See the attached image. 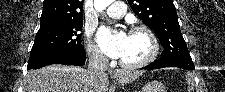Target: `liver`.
Returning <instances> with one entry per match:
<instances>
[{"label": "liver", "mask_w": 225, "mask_h": 92, "mask_svg": "<svg viewBox=\"0 0 225 92\" xmlns=\"http://www.w3.org/2000/svg\"><path fill=\"white\" fill-rule=\"evenodd\" d=\"M144 71L116 70L109 74L122 85L139 78ZM106 73L92 74L76 66L50 65L30 71L24 81V92H108Z\"/></svg>", "instance_id": "1"}]
</instances>
